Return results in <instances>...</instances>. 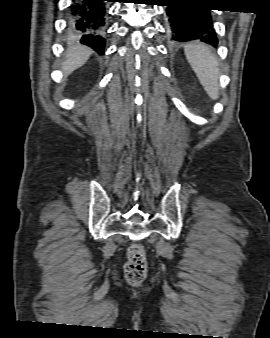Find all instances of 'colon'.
I'll return each mask as SVG.
<instances>
[{"label":"colon","mask_w":270,"mask_h":338,"mask_svg":"<svg viewBox=\"0 0 270 338\" xmlns=\"http://www.w3.org/2000/svg\"><path fill=\"white\" fill-rule=\"evenodd\" d=\"M124 272L126 280L132 286L139 285L145 278L146 256L141 244L134 243L128 248Z\"/></svg>","instance_id":"5ec220e1"}]
</instances>
